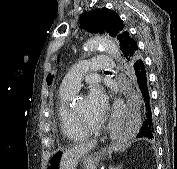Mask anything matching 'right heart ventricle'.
<instances>
[{"label":"right heart ventricle","instance_id":"e07e8e85","mask_svg":"<svg viewBox=\"0 0 177 169\" xmlns=\"http://www.w3.org/2000/svg\"><path fill=\"white\" fill-rule=\"evenodd\" d=\"M77 91H66L60 89L58 100V121L62 135L69 141H81L88 134L81 131L76 124L70 102Z\"/></svg>","mask_w":177,"mask_h":169}]
</instances>
